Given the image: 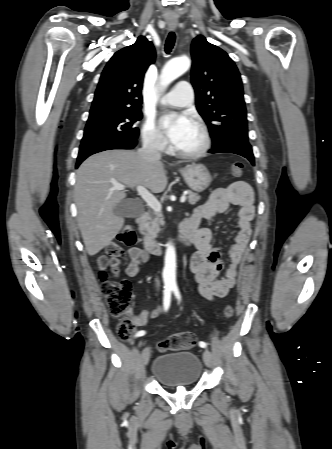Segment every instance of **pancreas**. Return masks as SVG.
I'll return each mask as SVG.
<instances>
[{
	"instance_id": "cf45deb5",
	"label": "pancreas",
	"mask_w": 332,
	"mask_h": 449,
	"mask_svg": "<svg viewBox=\"0 0 332 449\" xmlns=\"http://www.w3.org/2000/svg\"><path fill=\"white\" fill-rule=\"evenodd\" d=\"M200 200V196L196 193L189 192L188 202L192 205L196 204ZM164 225V218L160 212H154L149 214L148 220L141 223L140 230L150 236L156 237L160 231V226Z\"/></svg>"
}]
</instances>
